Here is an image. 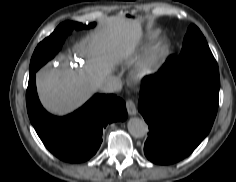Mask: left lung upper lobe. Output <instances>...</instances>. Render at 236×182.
Listing matches in <instances>:
<instances>
[{"instance_id":"1","label":"left lung upper lobe","mask_w":236,"mask_h":182,"mask_svg":"<svg viewBox=\"0 0 236 182\" xmlns=\"http://www.w3.org/2000/svg\"><path fill=\"white\" fill-rule=\"evenodd\" d=\"M160 72H165L166 84L198 83L220 87L219 69L205 37L195 25H190L178 57L170 56Z\"/></svg>"}]
</instances>
